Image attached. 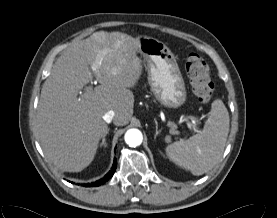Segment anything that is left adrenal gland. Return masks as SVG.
Here are the masks:
<instances>
[{"label":"left adrenal gland","mask_w":277,"mask_h":218,"mask_svg":"<svg viewBox=\"0 0 277 218\" xmlns=\"http://www.w3.org/2000/svg\"><path fill=\"white\" fill-rule=\"evenodd\" d=\"M155 124H156V132H155V135H154V138H156L158 136V134H160L161 130H158V123L155 119Z\"/></svg>","instance_id":"1"}]
</instances>
